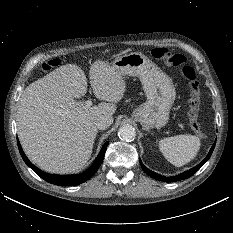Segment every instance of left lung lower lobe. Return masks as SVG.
I'll list each match as a JSON object with an SVG mask.
<instances>
[{"instance_id":"0a47b994","label":"left lung lower lobe","mask_w":233,"mask_h":233,"mask_svg":"<svg viewBox=\"0 0 233 233\" xmlns=\"http://www.w3.org/2000/svg\"><path fill=\"white\" fill-rule=\"evenodd\" d=\"M215 144H216V141L214 142L213 146L211 147L208 155L206 156V158L200 163L198 164L197 166H195L194 168L190 169V170H187L177 176H174V177H163L151 170H149L140 160V164H141V167L143 168V170L151 177H153L154 179H157V180H160V181H165V182H174V181H178V180H182V179H186V178H189L190 176H192L196 171H198L201 166L210 158L213 150H214V147H215Z\"/></svg>"}]
</instances>
